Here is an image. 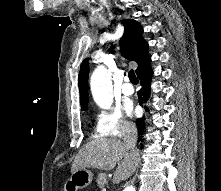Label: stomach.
<instances>
[{"label": "stomach", "mask_w": 221, "mask_h": 191, "mask_svg": "<svg viewBox=\"0 0 221 191\" xmlns=\"http://www.w3.org/2000/svg\"><path fill=\"white\" fill-rule=\"evenodd\" d=\"M93 173L87 169H78L71 174V177L64 184V191H77L91 184Z\"/></svg>", "instance_id": "0dacf381"}]
</instances>
